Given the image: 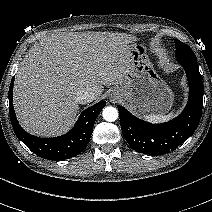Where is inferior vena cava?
<instances>
[{
  "label": "inferior vena cava",
  "instance_id": "inferior-vena-cava-1",
  "mask_svg": "<svg viewBox=\"0 0 212 212\" xmlns=\"http://www.w3.org/2000/svg\"><path fill=\"white\" fill-rule=\"evenodd\" d=\"M95 99V94L86 90H80L77 92L76 101L79 104H86Z\"/></svg>",
  "mask_w": 212,
  "mask_h": 212
}]
</instances>
